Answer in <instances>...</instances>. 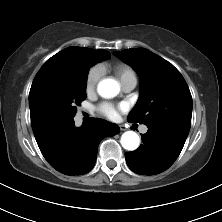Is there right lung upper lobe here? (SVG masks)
<instances>
[{
    "label": "right lung upper lobe",
    "instance_id": "obj_1",
    "mask_svg": "<svg viewBox=\"0 0 222 222\" xmlns=\"http://www.w3.org/2000/svg\"><path fill=\"white\" fill-rule=\"evenodd\" d=\"M77 56H91L95 58L98 62L110 58L109 52L105 51L104 49L94 50V49L85 48V47H68L60 51L59 53H57L56 55H54L53 57H51L44 63V65L38 71V73L36 74L33 80L30 94L33 92L35 84L37 83L39 77L44 72V70H46V68H48L51 65L63 62L65 60H68ZM30 94H29V98H30ZM42 126L43 125L32 126L33 132H37Z\"/></svg>",
    "mask_w": 222,
    "mask_h": 222
}]
</instances>
